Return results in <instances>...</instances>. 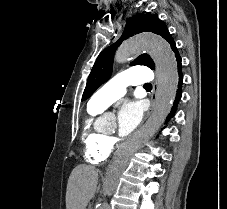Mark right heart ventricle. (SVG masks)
Here are the masks:
<instances>
[{
    "label": "right heart ventricle",
    "mask_w": 227,
    "mask_h": 209,
    "mask_svg": "<svg viewBox=\"0 0 227 209\" xmlns=\"http://www.w3.org/2000/svg\"><path fill=\"white\" fill-rule=\"evenodd\" d=\"M102 109L88 106L82 124L81 139L84 145V158L93 165L104 164L112 152V140L105 133L95 129V122Z\"/></svg>",
    "instance_id": "right-heart-ventricle-1"
}]
</instances>
